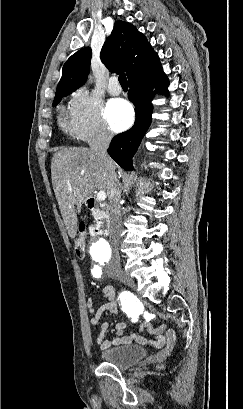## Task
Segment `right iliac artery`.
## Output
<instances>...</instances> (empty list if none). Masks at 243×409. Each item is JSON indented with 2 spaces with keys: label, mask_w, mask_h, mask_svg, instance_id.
I'll use <instances>...</instances> for the list:
<instances>
[{
  "label": "right iliac artery",
  "mask_w": 243,
  "mask_h": 409,
  "mask_svg": "<svg viewBox=\"0 0 243 409\" xmlns=\"http://www.w3.org/2000/svg\"><path fill=\"white\" fill-rule=\"evenodd\" d=\"M93 277L95 278H100L102 275V270L99 267L94 268L93 270H91ZM128 297L126 296V294L122 293L120 295V300L122 301L123 306L126 309V312H128L129 310V306H128V301H127Z\"/></svg>",
  "instance_id": "right-iliac-artery-1"
}]
</instances>
